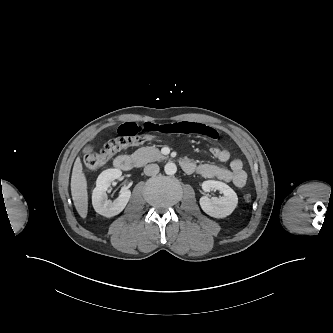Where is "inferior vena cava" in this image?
Instances as JSON below:
<instances>
[{
	"label": "inferior vena cava",
	"instance_id": "inferior-vena-cava-1",
	"mask_svg": "<svg viewBox=\"0 0 333 333\" xmlns=\"http://www.w3.org/2000/svg\"><path fill=\"white\" fill-rule=\"evenodd\" d=\"M159 166L157 164H149L147 166H145L144 168V173L147 176H152V175H156L159 173Z\"/></svg>",
	"mask_w": 333,
	"mask_h": 333
}]
</instances>
